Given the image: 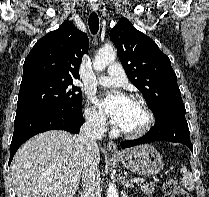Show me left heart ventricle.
Masks as SVG:
<instances>
[{"instance_id":"left-heart-ventricle-1","label":"left heart ventricle","mask_w":209,"mask_h":197,"mask_svg":"<svg viewBox=\"0 0 209 197\" xmlns=\"http://www.w3.org/2000/svg\"><path fill=\"white\" fill-rule=\"evenodd\" d=\"M146 120V115L142 107L134 102L133 109L131 110L126 122L120 126L121 129L133 131L140 128Z\"/></svg>"}]
</instances>
